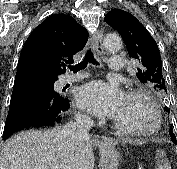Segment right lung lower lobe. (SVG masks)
Returning a JSON list of instances; mask_svg holds the SVG:
<instances>
[{
  "instance_id": "obj_1",
  "label": "right lung lower lobe",
  "mask_w": 177,
  "mask_h": 169,
  "mask_svg": "<svg viewBox=\"0 0 177 169\" xmlns=\"http://www.w3.org/2000/svg\"><path fill=\"white\" fill-rule=\"evenodd\" d=\"M57 77L46 73H16L10 108L3 132L6 140L16 131L61 123L70 107L67 97L54 90Z\"/></svg>"
}]
</instances>
